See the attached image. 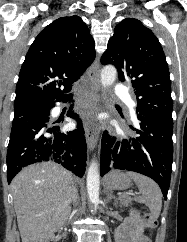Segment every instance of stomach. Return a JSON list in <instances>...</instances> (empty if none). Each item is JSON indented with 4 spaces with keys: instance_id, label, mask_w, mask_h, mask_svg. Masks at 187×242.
<instances>
[{
    "instance_id": "0dacf381",
    "label": "stomach",
    "mask_w": 187,
    "mask_h": 242,
    "mask_svg": "<svg viewBox=\"0 0 187 242\" xmlns=\"http://www.w3.org/2000/svg\"><path fill=\"white\" fill-rule=\"evenodd\" d=\"M131 185V178L121 171H112L104 179V186L107 190H125Z\"/></svg>"
}]
</instances>
